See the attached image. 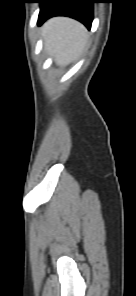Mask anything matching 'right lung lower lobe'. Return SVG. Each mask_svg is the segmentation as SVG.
<instances>
[{"instance_id":"98d812e1","label":"right lung lower lobe","mask_w":136,"mask_h":296,"mask_svg":"<svg viewBox=\"0 0 136 296\" xmlns=\"http://www.w3.org/2000/svg\"><path fill=\"white\" fill-rule=\"evenodd\" d=\"M96 0H41L38 25L53 16H68L90 29L93 20V3Z\"/></svg>"}]
</instances>
